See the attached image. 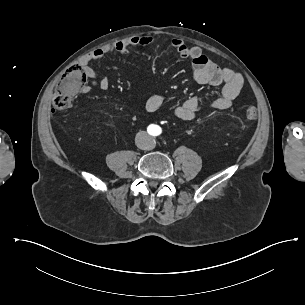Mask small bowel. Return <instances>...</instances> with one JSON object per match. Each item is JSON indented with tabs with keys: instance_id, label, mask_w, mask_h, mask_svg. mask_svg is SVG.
<instances>
[{
	"instance_id": "1",
	"label": "small bowel",
	"mask_w": 305,
	"mask_h": 305,
	"mask_svg": "<svg viewBox=\"0 0 305 305\" xmlns=\"http://www.w3.org/2000/svg\"><path fill=\"white\" fill-rule=\"evenodd\" d=\"M152 41L153 37L151 35L134 36L90 51L80 61L82 71L93 87L107 90L110 87L109 79L100 76L90 64L108 54H128L131 48L144 47ZM170 45L180 57L191 60L192 78L195 82L213 86L223 84L220 95L208 105V108L224 110L231 107L242 89L244 82L242 75L229 68L218 66L204 55L200 47L189 46L179 38L171 39ZM90 89V86L85 85L82 87L81 93L87 94ZM164 102L165 97L163 95H153L147 99L145 110L150 113L155 112L163 106ZM200 107L199 99L190 97L178 105L174 113L179 119L189 122L195 119Z\"/></svg>"
}]
</instances>
